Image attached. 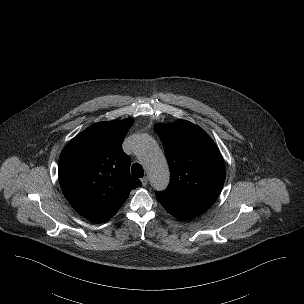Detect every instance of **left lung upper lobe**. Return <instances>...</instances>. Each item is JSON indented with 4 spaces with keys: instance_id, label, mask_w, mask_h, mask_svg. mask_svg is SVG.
<instances>
[{
    "instance_id": "obj_1",
    "label": "left lung upper lobe",
    "mask_w": 304,
    "mask_h": 304,
    "mask_svg": "<svg viewBox=\"0 0 304 304\" xmlns=\"http://www.w3.org/2000/svg\"><path fill=\"white\" fill-rule=\"evenodd\" d=\"M170 167L166 190L156 199L192 216L207 211L217 199L226 177L221 154L214 141L197 125L179 120L156 124Z\"/></svg>"
}]
</instances>
